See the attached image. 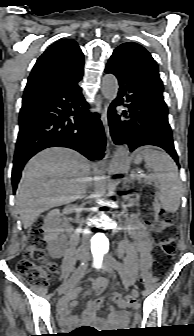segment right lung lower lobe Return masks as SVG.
I'll return each mask as SVG.
<instances>
[{
    "label": "right lung lower lobe",
    "mask_w": 194,
    "mask_h": 336,
    "mask_svg": "<svg viewBox=\"0 0 194 336\" xmlns=\"http://www.w3.org/2000/svg\"><path fill=\"white\" fill-rule=\"evenodd\" d=\"M83 70L62 84L23 98L13 160L15 193L26 162L42 149L62 146L90 160L104 156L105 135L99 115L88 111L79 82Z\"/></svg>",
    "instance_id": "98d812e1"
}]
</instances>
